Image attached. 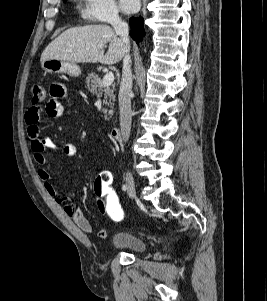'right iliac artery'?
Wrapping results in <instances>:
<instances>
[{"label":"right iliac artery","mask_w":267,"mask_h":301,"mask_svg":"<svg viewBox=\"0 0 267 301\" xmlns=\"http://www.w3.org/2000/svg\"><path fill=\"white\" fill-rule=\"evenodd\" d=\"M122 190H123V191H126V190H127V186H126V185H123V186H122Z\"/></svg>","instance_id":"1"}]
</instances>
